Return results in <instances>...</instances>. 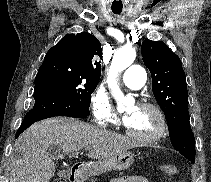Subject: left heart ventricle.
Returning a JSON list of instances; mask_svg holds the SVG:
<instances>
[{"label":"left heart ventricle","instance_id":"obj_1","mask_svg":"<svg viewBox=\"0 0 211 182\" xmlns=\"http://www.w3.org/2000/svg\"><path fill=\"white\" fill-rule=\"evenodd\" d=\"M133 113V118L127 124L136 135L147 137L153 135L159 127V120L154 111L140 107H130L128 114Z\"/></svg>","mask_w":211,"mask_h":182}]
</instances>
